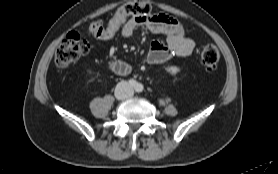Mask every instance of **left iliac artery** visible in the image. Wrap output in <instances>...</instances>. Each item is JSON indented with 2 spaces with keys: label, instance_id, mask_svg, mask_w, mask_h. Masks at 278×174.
Returning <instances> with one entry per match:
<instances>
[{
  "label": "left iliac artery",
  "instance_id": "obj_1",
  "mask_svg": "<svg viewBox=\"0 0 278 174\" xmlns=\"http://www.w3.org/2000/svg\"><path fill=\"white\" fill-rule=\"evenodd\" d=\"M135 89H136L137 92H142L143 91V85L142 84H137Z\"/></svg>",
  "mask_w": 278,
  "mask_h": 174
}]
</instances>
